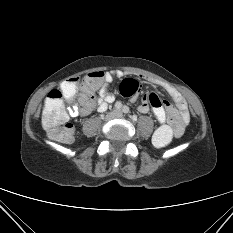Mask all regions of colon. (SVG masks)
I'll list each match as a JSON object with an SVG mask.
<instances>
[{
  "label": "colon",
  "mask_w": 233,
  "mask_h": 233,
  "mask_svg": "<svg viewBox=\"0 0 233 233\" xmlns=\"http://www.w3.org/2000/svg\"><path fill=\"white\" fill-rule=\"evenodd\" d=\"M103 72H93L85 76L81 87L82 94L92 99L93 92L97 91L103 81ZM76 79L67 81L62 86V91L54 89L48 94L46 105L43 113V125L47 129L51 138L62 142L69 143L73 139L74 129L68 122V114L65 109L63 96L71 95L74 90ZM139 88V84L134 79H125L120 85V92L124 96L134 95ZM173 139V130L168 125L159 127L154 136L153 142L157 147H167Z\"/></svg>",
  "instance_id": "colon-1"
}]
</instances>
